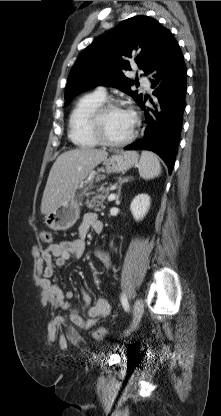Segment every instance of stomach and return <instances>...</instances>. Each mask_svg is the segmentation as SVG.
Wrapping results in <instances>:
<instances>
[{"instance_id":"0dacf381","label":"stomach","mask_w":221,"mask_h":416,"mask_svg":"<svg viewBox=\"0 0 221 416\" xmlns=\"http://www.w3.org/2000/svg\"><path fill=\"white\" fill-rule=\"evenodd\" d=\"M139 155L135 151H121L104 160L103 165L107 173H120L129 170L138 163ZM93 178L90 176L82 181L78 187L84 189V193L91 186ZM83 194V193H82ZM79 194L78 196H82ZM81 202L75 194L52 212L45 216V224L54 231H66L71 228L79 218Z\"/></svg>"}]
</instances>
